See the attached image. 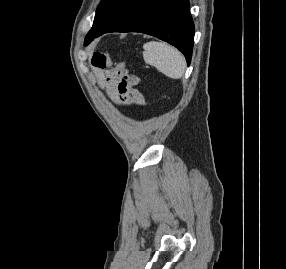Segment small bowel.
I'll return each instance as SVG.
<instances>
[{
	"label": "small bowel",
	"instance_id": "1",
	"mask_svg": "<svg viewBox=\"0 0 286 269\" xmlns=\"http://www.w3.org/2000/svg\"><path fill=\"white\" fill-rule=\"evenodd\" d=\"M93 74L96 83L100 89H106L110 95L111 100L116 105H123L127 100H123L120 95L119 74L121 70H114V63L104 54L94 53L93 60Z\"/></svg>",
	"mask_w": 286,
	"mask_h": 269
}]
</instances>
